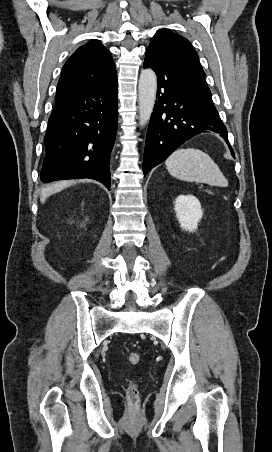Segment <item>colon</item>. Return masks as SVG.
<instances>
[{"mask_svg": "<svg viewBox=\"0 0 272 452\" xmlns=\"http://www.w3.org/2000/svg\"><path fill=\"white\" fill-rule=\"evenodd\" d=\"M127 362L130 365H137L141 362V354L131 352L127 356ZM127 398L132 406H136L139 402V391L136 383L132 382L127 388Z\"/></svg>", "mask_w": 272, "mask_h": 452, "instance_id": "obj_1", "label": "colon"}]
</instances>
